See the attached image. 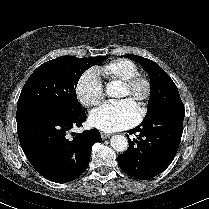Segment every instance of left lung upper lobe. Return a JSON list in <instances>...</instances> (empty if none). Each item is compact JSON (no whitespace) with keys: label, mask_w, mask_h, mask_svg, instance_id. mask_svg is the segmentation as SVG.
I'll use <instances>...</instances> for the list:
<instances>
[{"label":"left lung upper lobe","mask_w":209,"mask_h":209,"mask_svg":"<svg viewBox=\"0 0 209 209\" xmlns=\"http://www.w3.org/2000/svg\"><path fill=\"white\" fill-rule=\"evenodd\" d=\"M123 57L139 62L149 74L151 97L145 119H148L161 111L184 109L175 83L157 63L132 54H126L123 55Z\"/></svg>","instance_id":"obj_1"}]
</instances>
